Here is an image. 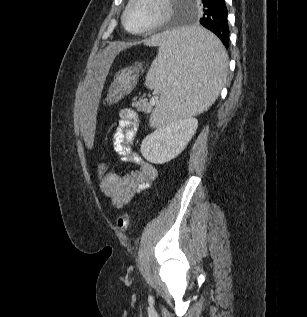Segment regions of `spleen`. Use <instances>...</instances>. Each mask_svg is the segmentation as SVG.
<instances>
[{
  "mask_svg": "<svg viewBox=\"0 0 307 317\" xmlns=\"http://www.w3.org/2000/svg\"><path fill=\"white\" fill-rule=\"evenodd\" d=\"M142 47H159L146 76V86L161 92L152 126L206 111L227 77L228 55L206 26H175L150 33Z\"/></svg>",
  "mask_w": 307,
  "mask_h": 317,
  "instance_id": "spleen-1",
  "label": "spleen"
}]
</instances>
